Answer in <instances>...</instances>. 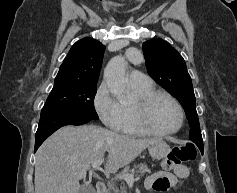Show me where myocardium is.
<instances>
[{
	"label": "myocardium",
	"mask_w": 237,
	"mask_h": 193,
	"mask_svg": "<svg viewBox=\"0 0 237 193\" xmlns=\"http://www.w3.org/2000/svg\"><path fill=\"white\" fill-rule=\"evenodd\" d=\"M161 97H165L169 100H171L175 106L177 107L180 115V121L176 128L168 131H161L153 128L150 126L146 120L149 110L152 106V104ZM133 110V118L135 125L145 134L152 135V136H168L175 134L181 130V128L184 125L185 121V112L180 104V102L171 94L167 92H161V91H154L145 97L137 99L136 103L132 107Z\"/></svg>",
	"instance_id": "1"
}]
</instances>
